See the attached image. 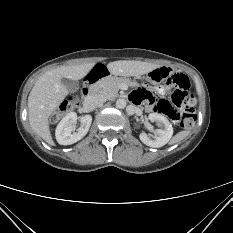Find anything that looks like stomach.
<instances>
[{"label": "stomach", "mask_w": 233, "mask_h": 233, "mask_svg": "<svg viewBox=\"0 0 233 233\" xmlns=\"http://www.w3.org/2000/svg\"><path fill=\"white\" fill-rule=\"evenodd\" d=\"M172 74V69L168 66H160L149 73H147V80L151 83H156L158 81H163L167 79ZM125 82L130 86H136L137 83L134 80L126 79Z\"/></svg>", "instance_id": "stomach-1"}]
</instances>
